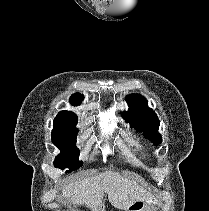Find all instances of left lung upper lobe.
Returning a JSON list of instances; mask_svg holds the SVG:
<instances>
[{
    "label": "left lung upper lobe",
    "mask_w": 209,
    "mask_h": 211,
    "mask_svg": "<svg viewBox=\"0 0 209 211\" xmlns=\"http://www.w3.org/2000/svg\"><path fill=\"white\" fill-rule=\"evenodd\" d=\"M125 100L129 105V110L122 114L126 121L139 132L143 131L153 144H160L162 138L157 132L160 121L156 113L147 106V100L138 94L129 95Z\"/></svg>",
    "instance_id": "left-lung-upper-lobe-1"
}]
</instances>
